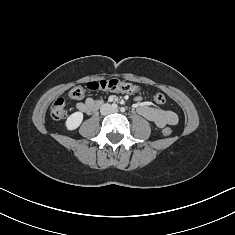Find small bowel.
<instances>
[{"mask_svg": "<svg viewBox=\"0 0 235 235\" xmlns=\"http://www.w3.org/2000/svg\"><path fill=\"white\" fill-rule=\"evenodd\" d=\"M95 104H100V101L89 97L84 101L77 103L76 107L81 112H88V110ZM137 112L145 119L153 122L159 128H163L166 125H176L179 121L178 115L175 111L170 109L154 108L145 103L139 104Z\"/></svg>", "mask_w": 235, "mask_h": 235, "instance_id": "c3829d8e", "label": "small bowel"}]
</instances>
